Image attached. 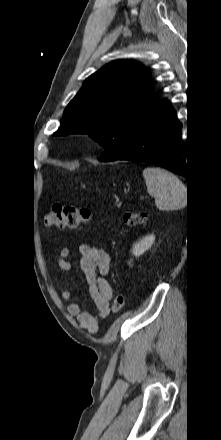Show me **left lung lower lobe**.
Returning <instances> with one entry per match:
<instances>
[{"mask_svg": "<svg viewBox=\"0 0 221 440\" xmlns=\"http://www.w3.org/2000/svg\"><path fill=\"white\" fill-rule=\"evenodd\" d=\"M181 128L170 102L158 99L137 122L125 153L117 160L148 162L189 179L181 155L184 147L180 139Z\"/></svg>", "mask_w": 221, "mask_h": 440, "instance_id": "left-lung-lower-lobe-1", "label": "left lung lower lobe"}]
</instances>
